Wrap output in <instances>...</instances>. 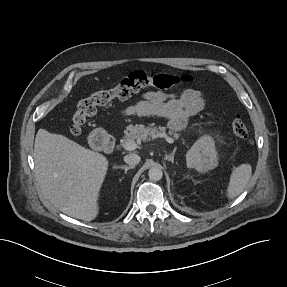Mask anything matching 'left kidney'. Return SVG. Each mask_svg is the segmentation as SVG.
<instances>
[{
	"mask_svg": "<svg viewBox=\"0 0 287 287\" xmlns=\"http://www.w3.org/2000/svg\"><path fill=\"white\" fill-rule=\"evenodd\" d=\"M188 168H195L199 172H207L218 165L214 140L209 136L200 138L186 154Z\"/></svg>",
	"mask_w": 287,
	"mask_h": 287,
	"instance_id": "obj_1",
	"label": "left kidney"
}]
</instances>
